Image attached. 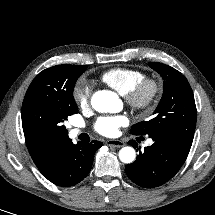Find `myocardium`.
I'll return each instance as SVG.
<instances>
[{
    "label": "myocardium",
    "instance_id": "myocardium-1",
    "mask_svg": "<svg viewBox=\"0 0 215 215\" xmlns=\"http://www.w3.org/2000/svg\"><path fill=\"white\" fill-rule=\"evenodd\" d=\"M162 92V83L154 77H144L125 95L126 103L136 112L149 114L153 111Z\"/></svg>",
    "mask_w": 215,
    "mask_h": 215
}]
</instances>
